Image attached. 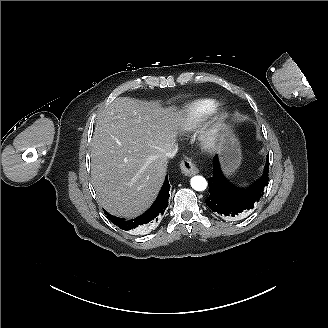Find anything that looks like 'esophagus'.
<instances>
[{
  "instance_id": "esophagus-1",
  "label": "esophagus",
  "mask_w": 328,
  "mask_h": 328,
  "mask_svg": "<svg viewBox=\"0 0 328 328\" xmlns=\"http://www.w3.org/2000/svg\"><path fill=\"white\" fill-rule=\"evenodd\" d=\"M180 169L185 176L198 174L199 170L190 159H183L180 163Z\"/></svg>"
}]
</instances>
